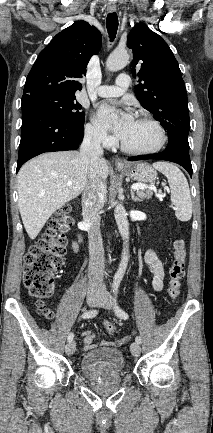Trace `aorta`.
I'll list each match as a JSON object with an SVG mask.
<instances>
[{"instance_id": "aorta-1", "label": "aorta", "mask_w": 213, "mask_h": 433, "mask_svg": "<svg viewBox=\"0 0 213 433\" xmlns=\"http://www.w3.org/2000/svg\"><path fill=\"white\" fill-rule=\"evenodd\" d=\"M129 54L126 50H116L110 54L106 61V67L109 71H118L124 68L129 62ZM115 220L119 229V232L124 240V249L122 252L121 262L119 264V268L115 273L113 286L118 287L120 282L125 274L128 260H129V250H128V241H129V223L127 220V213L124 206L120 203H117L114 210Z\"/></svg>"}]
</instances>
